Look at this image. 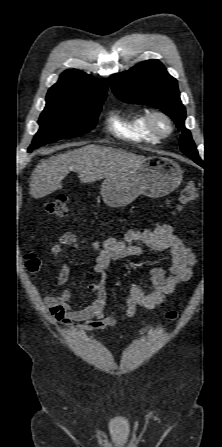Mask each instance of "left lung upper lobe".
Listing matches in <instances>:
<instances>
[{"instance_id":"left-lung-upper-lobe-1","label":"left lung upper lobe","mask_w":222,"mask_h":447,"mask_svg":"<svg viewBox=\"0 0 222 447\" xmlns=\"http://www.w3.org/2000/svg\"><path fill=\"white\" fill-rule=\"evenodd\" d=\"M115 96L123 102L149 105L162 110L182 131L180 149L191 159L199 158L191 133L185 128V107L180 100L177 80L158 60H147L128 71L110 76Z\"/></svg>"}]
</instances>
